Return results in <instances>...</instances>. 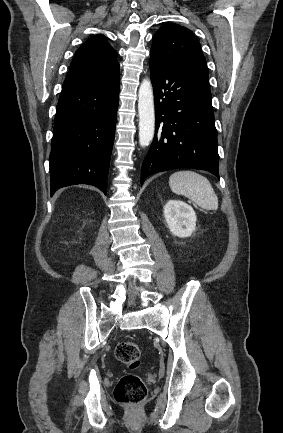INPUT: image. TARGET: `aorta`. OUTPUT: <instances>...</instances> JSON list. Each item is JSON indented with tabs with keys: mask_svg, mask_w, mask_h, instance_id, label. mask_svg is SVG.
<instances>
[{
	"mask_svg": "<svg viewBox=\"0 0 283 433\" xmlns=\"http://www.w3.org/2000/svg\"><path fill=\"white\" fill-rule=\"evenodd\" d=\"M139 144L148 146L155 132V109L153 87L149 79H144L138 91Z\"/></svg>",
	"mask_w": 283,
	"mask_h": 433,
	"instance_id": "obj_1",
	"label": "aorta"
}]
</instances>
